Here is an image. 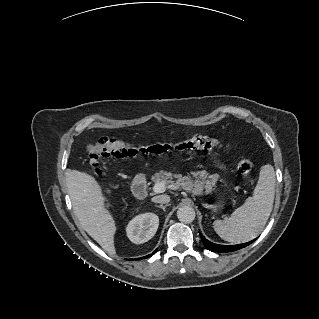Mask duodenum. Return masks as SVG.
Listing matches in <instances>:
<instances>
[{
  "label": "duodenum",
  "mask_w": 319,
  "mask_h": 319,
  "mask_svg": "<svg viewBox=\"0 0 319 319\" xmlns=\"http://www.w3.org/2000/svg\"><path fill=\"white\" fill-rule=\"evenodd\" d=\"M133 193L136 198L144 199L148 193L147 186L144 183H136L133 186Z\"/></svg>",
  "instance_id": "410a0bca"
}]
</instances>
